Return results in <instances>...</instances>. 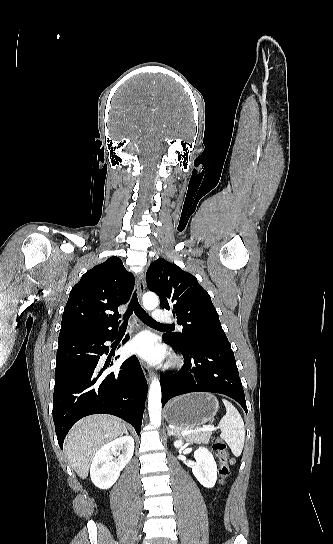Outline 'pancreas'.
Segmentation results:
<instances>
[{"label": "pancreas", "instance_id": "cf45deb5", "mask_svg": "<svg viewBox=\"0 0 333 544\" xmlns=\"http://www.w3.org/2000/svg\"><path fill=\"white\" fill-rule=\"evenodd\" d=\"M185 429H187V428H183V430H185ZM175 432L180 433L181 430L175 429ZM211 434H212L211 431H198V432H193V433L187 434L184 437L186 438L187 441L208 442L210 440Z\"/></svg>", "mask_w": 333, "mask_h": 544}]
</instances>
